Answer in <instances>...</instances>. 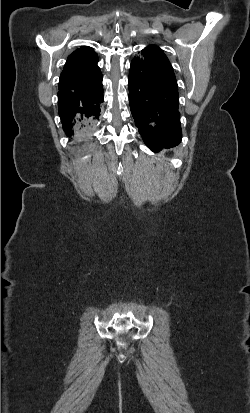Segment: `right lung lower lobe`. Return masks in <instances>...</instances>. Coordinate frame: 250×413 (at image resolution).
Instances as JSON below:
<instances>
[{
  "instance_id": "98d812e1",
  "label": "right lung lower lobe",
  "mask_w": 250,
  "mask_h": 413,
  "mask_svg": "<svg viewBox=\"0 0 250 413\" xmlns=\"http://www.w3.org/2000/svg\"><path fill=\"white\" fill-rule=\"evenodd\" d=\"M102 74L99 71L79 85L59 86L58 110L68 137L86 136L100 116L103 102Z\"/></svg>"
}]
</instances>
